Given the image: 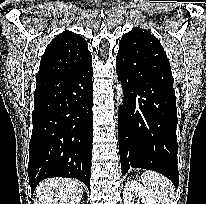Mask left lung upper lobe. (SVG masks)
I'll return each mask as SVG.
<instances>
[{
	"instance_id": "5c2ea615",
	"label": "left lung upper lobe",
	"mask_w": 206,
	"mask_h": 204,
	"mask_svg": "<svg viewBox=\"0 0 206 204\" xmlns=\"http://www.w3.org/2000/svg\"><path fill=\"white\" fill-rule=\"evenodd\" d=\"M117 57L132 70L138 68L144 60L161 64L170 70L167 55L160 41L149 31L139 27L133 28L122 37Z\"/></svg>"
}]
</instances>
